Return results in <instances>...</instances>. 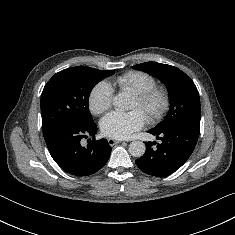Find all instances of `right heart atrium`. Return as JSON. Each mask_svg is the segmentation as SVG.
I'll return each instance as SVG.
<instances>
[{"label": "right heart atrium", "mask_w": 235, "mask_h": 235, "mask_svg": "<svg viewBox=\"0 0 235 235\" xmlns=\"http://www.w3.org/2000/svg\"><path fill=\"white\" fill-rule=\"evenodd\" d=\"M113 89L106 81L97 83L90 91L88 105L90 111L95 115L106 112L113 103Z\"/></svg>", "instance_id": "1"}]
</instances>
